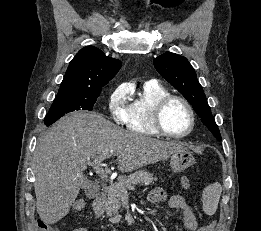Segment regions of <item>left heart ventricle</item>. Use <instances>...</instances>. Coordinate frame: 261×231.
<instances>
[{
  "label": "left heart ventricle",
  "instance_id": "b2bd125f",
  "mask_svg": "<svg viewBox=\"0 0 261 231\" xmlns=\"http://www.w3.org/2000/svg\"><path fill=\"white\" fill-rule=\"evenodd\" d=\"M163 123L171 133L185 132L190 125V117L186 107L178 100L170 102L164 110Z\"/></svg>",
  "mask_w": 261,
  "mask_h": 231
}]
</instances>
